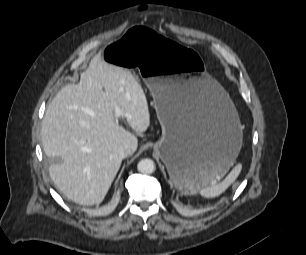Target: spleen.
Listing matches in <instances>:
<instances>
[{
  "label": "spleen",
  "instance_id": "3e777b00",
  "mask_svg": "<svg viewBox=\"0 0 306 255\" xmlns=\"http://www.w3.org/2000/svg\"><path fill=\"white\" fill-rule=\"evenodd\" d=\"M240 171H241V164H237L222 182H220L217 185H210L201 188L200 194L206 198L220 195L235 181Z\"/></svg>",
  "mask_w": 306,
  "mask_h": 255
}]
</instances>
